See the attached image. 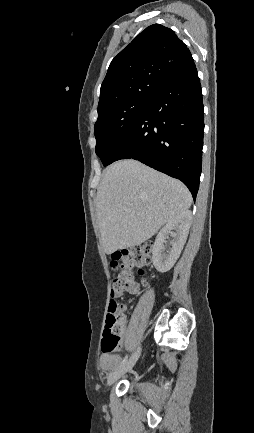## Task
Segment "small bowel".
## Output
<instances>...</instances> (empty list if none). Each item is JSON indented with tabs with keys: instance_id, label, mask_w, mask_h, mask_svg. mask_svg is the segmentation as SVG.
I'll list each match as a JSON object with an SVG mask.
<instances>
[{
	"instance_id": "c3829d8e",
	"label": "small bowel",
	"mask_w": 254,
	"mask_h": 433,
	"mask_svg": "<svg viewBox=\"0 0 254 433\" xmlns=\"http://www.w3.org/2000/svg\"><path fill=\"white\" fill-rule=\"evenodd\" d=\"M122 292L113 293L114 297H120ZM123 309H125L123 307ZM125 321V319H124ZM121 363V358L115 354H103L100 359V367L104 371H111L119 367Z\"/></svg>"
}]
</instances>
